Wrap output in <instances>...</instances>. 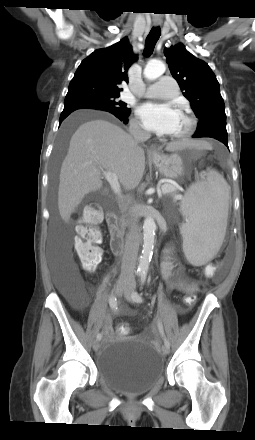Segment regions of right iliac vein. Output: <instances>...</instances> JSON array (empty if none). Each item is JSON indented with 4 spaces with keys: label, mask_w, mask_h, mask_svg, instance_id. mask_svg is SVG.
Returning a JSON list of instances; mask_svg holds the SVG:
<instances>
[{
    "label": "right iliac vein",
    "mask_w": 255,
    "mask_h": 440,
    "mask_svg": "<svg viewBox=\"0 0 255 440\" xmlns=\"http://www.w3.org/2000/svg\"><path fill=\"white\" fill-rule=\"evenodd\" d=\"M127 283L126 281H119L115 287V294L117 296H120L123 292H125V290L127 289ZM100 344H99V340H95L93 342V350L95 352H97L99 350Z\"/></svg>",
    "instance_id": "obj_1"
}]
</instances>
